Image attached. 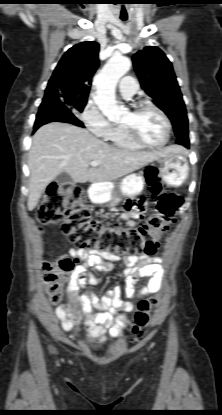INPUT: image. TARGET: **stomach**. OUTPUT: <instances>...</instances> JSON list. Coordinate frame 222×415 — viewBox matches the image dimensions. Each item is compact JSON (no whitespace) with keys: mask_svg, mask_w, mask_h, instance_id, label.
I'll list each match as a JSON object with an SVG mask.
<instances>
[{"mask_svg":"<svg viewBox=\"0 0 222 415\" xmlns=\"http://www.w3.org/2000/svg\"><path fill=\"white\" fill-rule=\"evenodd\" d=\"M159 164V173L162 179L169 185L178 187L182 185L189 173L187 157L184 153H169L157 160ZM109 184L106 182L93 184L89 189L92 198L101 197V202L107 200V188ZM144 188V178L140 174H130L122 179L119 183L121 193L127 197H133L142 192Z\"/></svg>","mask_w":222,"mask_h":415,"instance_id":"0dacf381","label":"stomach"}]
</instances>
